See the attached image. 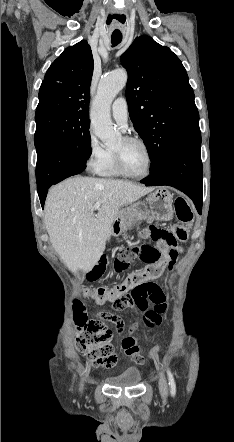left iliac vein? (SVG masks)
I'll return each instance as SVG.
<instances>
[{"mask_svg": "<svg viewBox=\"0 0 234 442\" xmlns=\"http://www.w3.org/2000/svg\"><path fill=\"white\" fill-rule=\"evenodd\" d=\"M159 389H160L161 396L163 398H166L167 393H168V385H167V381H166V378H165L163 372L159 373Z\"/></svg>", "mask_w": 234, "mask_h": 442, "instance_id": "obj_1", "label": "left iliac vein"}]
</instances>
